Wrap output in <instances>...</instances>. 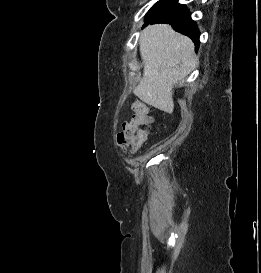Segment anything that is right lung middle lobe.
<instances>
[{"mask_svg": "<svg viewBox=\"0 0 261 273\" xmlns=\"http://www.w3.org/2000/svg\"><path fill=\"white\" fill-rule=\"evenodd\" d=\"M169 0H160L148 11L146 17L158 16L170 9L168 5Z\"/></svg>", "mask_w": 261, "mask_h": 273, "instance_id": "1", "label": "right lung middle lobe"}]
</instances>
